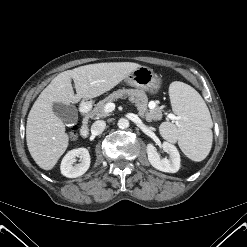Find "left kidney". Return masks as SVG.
<instances>
[{
  "mask_svg": "<svg viewBox=\"0 0 247 247\" xmlns=\"http://www.w3.org/2000/svg\"><path fill=\"white\" fill-rule=\"evenodd\" d=\"M162 148L170 155V159L160 158L155 146L151 143L147 145V154L150 164L162 172L176 173L180 169L181 161L177 148L169 142H163Z\"/></svg>",
  "mask_w": 247,
  "mask_h": 247,
  "instance_id": "left-kidney-1",
  "label": "left kidney"
}]
</instances>
